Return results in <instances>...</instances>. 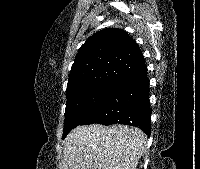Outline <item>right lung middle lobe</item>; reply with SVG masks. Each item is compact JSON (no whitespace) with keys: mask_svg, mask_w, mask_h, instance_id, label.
<instances>
[{"mask_svg":"<svg viewBox=\"0 0 200 169\" xmlns=\"http://www.w3.org/2000/svg\"><path fill=\"white\" fill-rule=\"evenodd\" d=\"M116 84L113 80L100 81L67 98L63 138L107 99Z\"/></svg>","mask_w":200,"mask_h":169,"instance_id":"obj_1","label":"right lung middle lobe"}]
</instances>
